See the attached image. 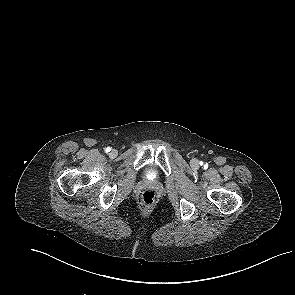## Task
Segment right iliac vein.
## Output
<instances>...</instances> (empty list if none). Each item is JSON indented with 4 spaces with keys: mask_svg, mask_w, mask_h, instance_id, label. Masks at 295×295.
<instances>
[{
    "mask_svg": "<svg viewBox=\"0 0 295 295\" xmlns=\"http://www.w3.org/2000/svg\"><path fill=\"white\" fill-rule=\"evenodd\" d=\"M118 155V151L116 149H112L111 152L109 153V156L111 158H115Z\"/></svg>",
    "mask_w": 295,
    "mask_h": 295,
    "instance_id": "1",
    "label": "right iliac vein"
}]
</instances>
